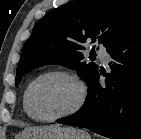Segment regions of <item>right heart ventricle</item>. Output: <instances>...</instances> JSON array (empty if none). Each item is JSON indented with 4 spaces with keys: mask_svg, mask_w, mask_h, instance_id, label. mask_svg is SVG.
<instances>
[{
    "mask_svg": "<svg viewBox=\"0 0 141 139\" xmlns=\"http://www.w3.org/2000/svg\"><path fill=\"white\" fill-rule=\"evenodd\" d=\"M23 109H24V112L26 113V115L28 117L32 118L31 115L29 114L28 110H27V107H26V91H25L24 96H23Z\"/></svg>",
    "mask_w": 141,
    "mask_h": 139,
    "instance_id": "e07e8e85",
    "label": "right heart ventricle"
}]
</instances>
